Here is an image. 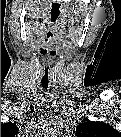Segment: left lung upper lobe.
<instances>
[{"label": "left lung upper lobe", "mask_w": 121, "mask_h": 137, "mask_svg": "<svg viewBox=\"0 0 121 137\" xmlns=\"http://www.w3.org/2000/svg\"><path fill=\"white\" fill-rule=\"evenodd\" d=\"M77 133L79 136H111V134H117L118 132L115 129L112 130V127L106 123L87 121L78 125Z\"/></svg>", "instance_id": "left-lung-upper-lobe-1"}]
</instances>
